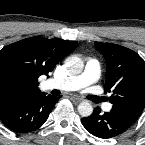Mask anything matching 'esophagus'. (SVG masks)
Returning <instances> with one entry per match:
<instances>
[{"label":"esophagus","instance_id":"34e87169","mask_svg":"<svg viewBox=\"0 0 145 145\" xmlns=\"http://www.w3.org/2000/svg\"><path fill=\"white\" fill-rule=\"evenodd\" d=\"M70 99L74 104H78L83 100V98H81L80 96H77V95H72L70 97Z\"/></svg>","mask_w":145,"mask_h":145}]
</instances>
